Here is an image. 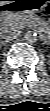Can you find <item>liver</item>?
I'll return each mask as SVG.
<instances>
[{
    "instance_id": "6515ba94",
    "label": "liver",
    "mask_w": 50,
    "mask_h": 111,
    "mask_svg": "<svg viewBox=\"0 0 50 111\" xmlns=\"http://www.w3.org/2000/svg\"><path fill=\"white\" fill-rule=\"evenodd\" d=\"M8 2H6V1H1V6H3V5H6Z\"/></svg>"
}]
</instances>
